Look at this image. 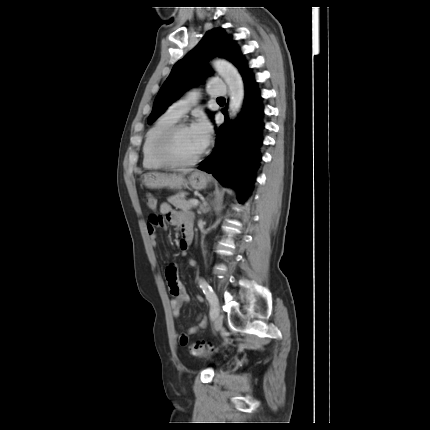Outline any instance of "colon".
Instances as JSON below:
<instances>
[{"mask_svg":"<svg viewBox=\"0 0 430 430\" xmlns=\"http://www.w3.org/2000/svg\"><path fill=\"white\" fill-rule=\"evenodd\" d=\"M147 205L150 209L155 210L157 203L156 200L152 196L147 197ZM158 218V216H155ZM191 355L195 357H206L209 356L214 350L212 347H206L204 342L197 341L193 344H191L190 348Z\"/></svg>","mask_w":430,"mask_h":430,"instance_id":"1","label":"colon"}]
</instances>
